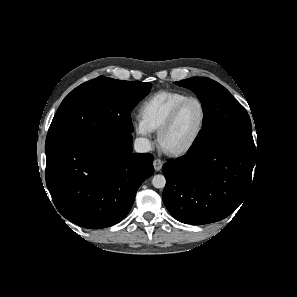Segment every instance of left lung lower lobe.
I'll list each match as a JSON object with an SVG mask.
<instances>
[{"instance_id":"0a47b994","label":"left lung lower lobe","mask_w":297,"mask_h":297,"mask_svg":"<svg viewBox=\"0 0 297 297\" xmlns=\"http://www.w3.org/2000/svg\"><path fill=\"white\" fill-rule=\"evenodd\" d=\"M256 149L219 143L189 150L163 166V201L178 221L201 225L226 218L250 189Z\"/></svg>"}]
</instances>
